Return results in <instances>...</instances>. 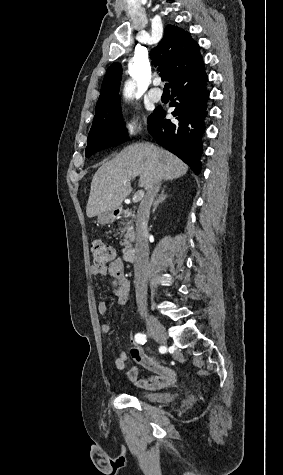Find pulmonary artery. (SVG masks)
Returning <instances> with one entry per match:
<instances>
[{"instance_id": "pulmonary-artery-1", "label": "pulmonary artery", "mask_w": 283, "mask_h": 475, "mask_svg": "<svg viewBox=\"0 0 283 475\" xmlns=\"http://www.w3.org/2000/svg\"><path fill=\"white\" fill-rule=\"evenodd\" d=\"M160 84H153L154 87L151 88L150 90V93L152 96H161L162 93H163V90L161 87H157L159 86ZM126 90H135V89H126ZM151 100L153 102H158L160 101V98H155V97H151Z\"/></svg>"}]
</instances>
